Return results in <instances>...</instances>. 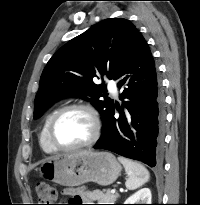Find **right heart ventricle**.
<instances>
[{"label":"right heart ventricle","mask_w":200,"mask_h":205,"mask_svg":"<svg viewBox=\"0 0 200 205\" xmlns=\"http://www.w3.org/2000/svg\"><path fill=\"white\" fill-rule=\"evenodd\" d=\"M57 110L58 109L52 110L46 116L43 127H42L41 132H40V145H41L42 149L47 153H52L55 151V149L53 148V146L50 144V142L48 140L47 129H48V125H49V122H50L52 116L56 113Z\"/></svg>","instance_id":"1"}]
</instances>
